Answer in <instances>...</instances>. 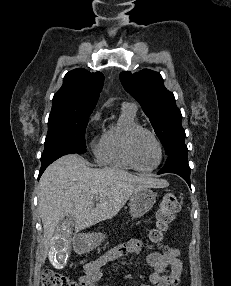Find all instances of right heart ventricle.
<instances>
[{"label":"right heart ventricle","instance_id":"e07e8e85","mask_svg":"<svg viewBox=\"0 0 231 286\" xmlns=\"http://www.w3.org/2000/svg\"><path fill=\"white\" fill-rule=\"evenodd\" d=\"M137 126L140 125L135 110L123 107L119 119L103 130L94 146L96 159L106 166L134 169L125 153V139L127 133Z\"/></svg>","mask_w":231,"mask_h":286}]
</instances>
